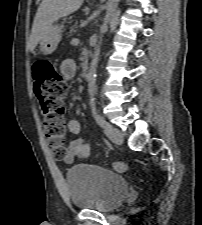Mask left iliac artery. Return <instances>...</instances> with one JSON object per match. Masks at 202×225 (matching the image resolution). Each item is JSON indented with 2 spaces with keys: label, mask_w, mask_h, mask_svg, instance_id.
Listing matches in <instances>:
<instances>
[{
  "label": "left iliac artery",
  "mask_w": 202,
  "mask_h": 225,
  "mask_svg": "<svg viewBox=\"0 0 202 225\" xmlns=\"http://www.w3.org/2000/svg\"><path fill=\"white\" fill-rule=\"evenodd\" d=\"M91 111H92V115L95 119V121L97 122L98 125H100L103 128L109 127V123H107L98 113L97 108H96V104L94 101L91 102Z\"/></svg>",
  "instance_id": "1"
}]
</instances>
